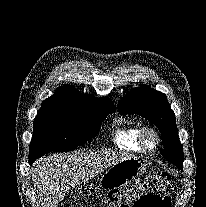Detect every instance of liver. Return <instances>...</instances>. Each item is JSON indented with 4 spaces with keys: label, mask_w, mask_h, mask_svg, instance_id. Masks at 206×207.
Listing matches in <instances>:
<instances>
[{
    "label": "liver",
    "mask_w": 206,
    "mask_h": 207,
    "mask_svg": "<svg viewBox=\"0 0 206 207\" xmlns=\"http://www.w3.org/2000/svg\"><path fill=\"white\" fill-rule=\"evenodd\" d=\"M128 158L132 157L115 152L84 150L40 158L34 165L32 181L42 207H57L68 190Z\"/></svg>",
    "instance_id": "obj_1"
}]
</instances>
